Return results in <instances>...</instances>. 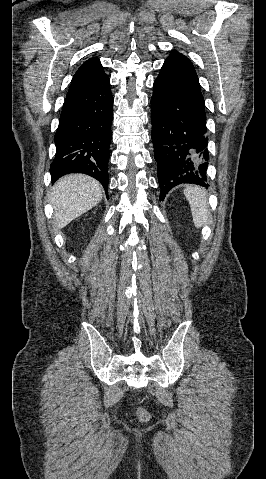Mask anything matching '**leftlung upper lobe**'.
<instances>
[{"mask_svg": "<svg viewBox=\"0 0 266 479\" xmlns=\"http://www.w3.org/2000/svg\"><path fill=\"white\" fill-rule=\"evenodd\" d=\"M165 61L176 64L179 67L189 71L190 73L197 75L191 61L187 57H185L184 55L180 54L179 52L175 50L171 51L170 56Z\"/></svg>", "mask_w": 266, "mask_h": 479, "instance_id": "1", "label": "left lung upper lobe"}]
</instances>
